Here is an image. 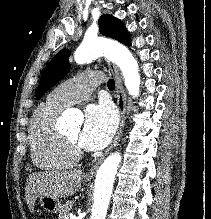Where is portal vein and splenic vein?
I'll return each instance as SVG.
<instances>
[{"label":"portal vein and splenic vein","instance_id":"18ae733b","mask_svg":"<svg viewBox=\"0 0 211 219\" xmlns=\"http://www.w3.org/2000/svg\"><path fill=\"white\" fill-rule=\"evenodd\" d=\"M65 219H69V217H68V216H66V217H65Z\"/></svg>","mask_w":211,"mask_h":219}]
</instances>
